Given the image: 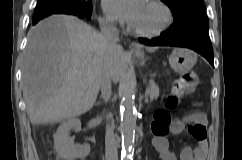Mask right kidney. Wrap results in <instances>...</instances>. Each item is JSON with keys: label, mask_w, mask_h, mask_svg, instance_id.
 Instances as JSON below:
<instances>
[{"label": "right kidney", "mask_w": 242, "mask_h": 160, "mask_svg": "<svg viewBox=\"0 0 242 160\" xmlns=\"http://www.w3.org/2000/svg\"><path fill=\"white\" fill-rule=\"evenodd\" d=\"M81 122L77 118L68 119L63 122L54 134V146L58 154L65 160L84 159L90 153L89 144H75L70 138L72 129H79Z\"/></svg>", "instance_id": "right-kidney-1"}]
</instances>
